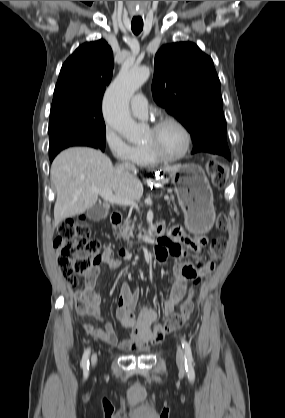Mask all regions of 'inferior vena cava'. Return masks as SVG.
I'll use <instances>...</instances> for the list:
<instances>
[{
  "mask_svg": "<svg viewBox=\"0 0 285 418\" xmlns=\"http://www.w3.org/2000/svg\"><path fill=\"white\" fill-rule=\"evenodd\" d=\"M123 167L129 172H131L134 168L133 165L126 163V162L123 164Z\"/></svg>",
  "mask_w": 285,
  "mask_h": 418,
  "instance_id": "inferior-vena-cava-1",
  "label": "inferior vena cava"
}]
</instances>
